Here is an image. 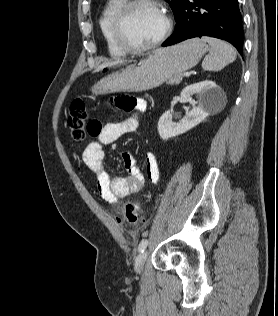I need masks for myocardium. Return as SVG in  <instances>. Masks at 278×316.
I'll use <instances>...</instances> for the list:
<instances>
[{
    "mask_svg": "<svg viewBox=\"0 0 278 316\" xmlns=\"http://www.w3.org/2000/svg\"><path fill=\"white\" fill-rule=\"evenodd\" d=\"M141 4L151 5L159 11L164 21V28L161 34L151 43L142 46H136L131 44L127 39L124 25L126 18L128 14L132 11V9ZM172 28L173 21L169 13L167 12L166 8L162 5V3H160L157 0H128L120 7V9L117 11L113 19V32L117 43L126 52L134 54L143 53L158 47L170 35Z\"/></svg>",
    "mask_w": 278,
    "mask_h": 316,
    "instance_id": "obj_1",
    "label": "myocardium"
}]
</instances>
